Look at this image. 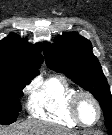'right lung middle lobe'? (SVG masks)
<instances>
[{
    "label": "right lung middle lobe",
    "mask_w": 112,
    "mask_h": 135,
    "mask_svg": "<svg viewBox=\"0 0 112 135\" xmlns=\"http://www.w3.org/2000/svg\"><path fill=\"white\" fill-rule=\"evenodd\" d=\"M32 78L25 75L12 74L0 77V124H11L16 121L22 110L19 98L23 96L22 89Z\"/></svg>",
    "instance_id": "obj_1"
}]
</instances>
